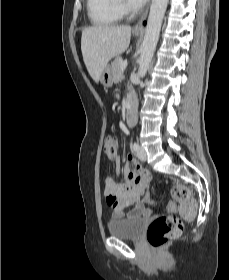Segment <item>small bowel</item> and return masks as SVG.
I'll use <instances>...</instances> for the list:
<instances>
[{
	"label": "small bowel",
	"mask_w": 229,
	"mask_h": 280,
	"mask_svg": "<svg viewBox=\"0 0 229 280\" xmlns=\"http://www.w3.org/2000/svg\"><path fill=\"white\" fill-rule=\"evenodd\" d=\"M115 172L120 176L122 172L121 160L119 155L114 154ZM128 164L123 169L126 182L118 183L114 177L108 176L104 180V195L108 205L113 210V218H121L126 213V210L131 207L127 215L131 218H148L151 216V210L144 204L145 201H150L148 194V184L142 181L137 184L134 182L135 177L143 175V166L140 161L132 155H128ZM130 164H133L135 170H132Z\"/></svg>",
	"instance_id": "1"
}]
</instances>
